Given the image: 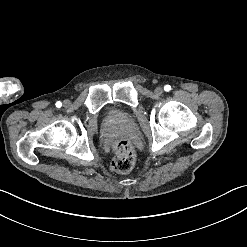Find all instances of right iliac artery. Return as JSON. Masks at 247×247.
Wrapping results in <instances>:
<instances>
[{
  "label": "right iliac artery",
  "mask_w": 247,
  "mask_h": 247,
  "mask_svg": "<svg viewBox=\"0 0 247 247\" xmlns=\"http://www.w3.org/2000/svg\"><path fill=\"white\" fill-rule=\"evenodd\" d=\"M56 107L60 108L62 106V103L60 101L56 102Z\"/></svg>",
  "instance_id": "1"
}]
</instances>
